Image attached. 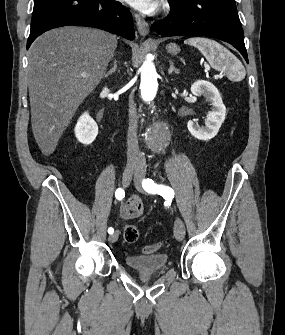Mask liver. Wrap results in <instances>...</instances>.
Listing matches in <instances>:
<instances>
[{"mask_svg":"<svg viewBox=\"0 0 285 335\" xmlns=\"http://www.w3.org/2000/svg\"><path fill=\"white\" fill-rule=\"evenodd\" d=\"M116 48V36L78 26L50 30L33 42L28 50L31 122L44 156L55 152L80 104L100 84Z\"/></svg>","mask_w":285,"mask_h":335,"instance_id":"obj_1","label":"liver"}]
</instances>
